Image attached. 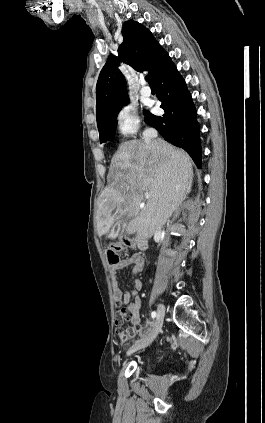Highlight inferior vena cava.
Listing matches in <instances>:
<instances>
[{"mask_svg":"<svg viewBox=\"0 0 265 423\" xmlns=\"http://www.w3.org/2000/svg\"><path fill=\"white\" fill-rule=\"evenodd\" d=\"M158 133L154 128H147L143 131V139L146 144L155 143Z\"/></svg>","mask_w":265,"mask_h":423,"instance_id":"1","label":"inferior vena cava"}]
</instances>
